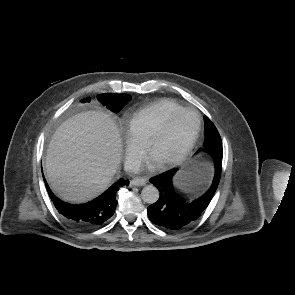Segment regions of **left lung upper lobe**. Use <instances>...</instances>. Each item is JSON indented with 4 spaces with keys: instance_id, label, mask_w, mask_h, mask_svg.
Returning a JSON list of instances; mask_svg holds the SVG:
<instances>
[{
    "instance_id": "left-lung-upper-lobe-1",
    "label": "left lung upper lobe",
    "mask_w": 295,
    "mask_h": 295,
    "mask_svg": "<svg viewBox=\"0 0 295 295\" xmlns=\"http://www.w3.org/2000/svg\"><path fill=\"white\" fill-rule=\"evenodd\" d=\"M204 121H205L204 151L206 152L219 151L223 153L222 140L216 127L207 116L204 117Z\"/></svg>"
}]
</instances>
